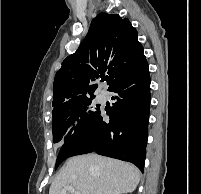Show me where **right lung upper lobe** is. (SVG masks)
Returning a JSON list of instances; mask_svg holds the SVG:
<instances>
[{
  "instance_id": "obj_1",
  "label": "right lung upper lobe",
  "mask_w": 201,
  "mask_h": 194,
  "mask_svg": "<svg viewBox=\"0 0 201 194\" xmlns=\"http://www.w3.org/2000/svg\"><path fill=\"white\" fill-rule=\"evenodd\" d=\"M143 57L137 30L128 19L117 14H98L80 47L63 61L55 76L53 119L94 97L97 84L91 83L104 73H107V84L111 87L131 72Z\"/></svg>"
}]
</instances>
